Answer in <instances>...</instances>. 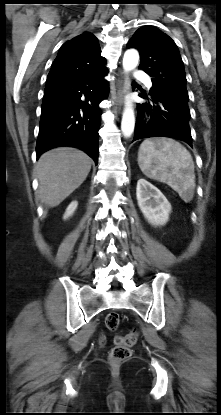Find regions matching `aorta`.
Here are the masks:
<instances>
[{
  "mask_svg": "<svg viewBox=\"0 0 221 415\" xmlns=\"http://www.w3.org/2000/svg\"><path fill=\"white\" fill-rule=\"evenodd\" d=\"M139 61V53L135 49H128L123 57V69L125 72H129L136 68ZM135 126V115L132 103L127 101L122 121H121V130L124 137H130L134 131Z\"/></svg>",
  "mask_w": 221,
  "mask_h": 415,
  "instance_id": "762f6f07",
  "label": "aorta"
}]
</instances>
